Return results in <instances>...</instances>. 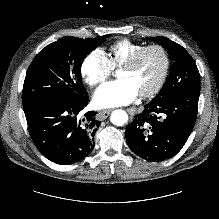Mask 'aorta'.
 Instances as JSON below:
<instances>
[{
	"label": "aorta",
	"instance_id": "762f6f07",
	"mask_svg": "<svg viewBox=\"0 0 219 219\" xmlns=\"http://www.w3.org/2000/svg\"><path fill=\"white\" fill-rule=\"evenodd\" d=\"M110 121L115 126H123L128 121V114L124 110H114L110 116Z\"/></svg>",
	"mask_w": 219,
	"mask_h": 219
}]
</instances>
